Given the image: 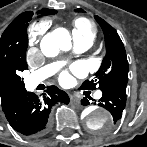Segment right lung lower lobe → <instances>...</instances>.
Here are the masks:
<instances>
[{
    "label": "right lung lower lobe",
    "instance_id": "right-lung-lower-lobe-1",
    "mask_svg": "<svg viewBox=\"0 0 147 147\" xmlns=\"http://www.w3.org/2000/svg\"><path fill=\"white\" fill-rule=\"evenodd\" d=\"M57 102L68 104V95L56 86H48L42 99L27 92L2 109L14 130L25 136L38 137L47 131L50 109Z\"/></svg>",
    "mask_w": 147,
    "mask_h": 147
}]
</instances>
